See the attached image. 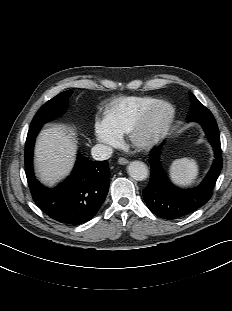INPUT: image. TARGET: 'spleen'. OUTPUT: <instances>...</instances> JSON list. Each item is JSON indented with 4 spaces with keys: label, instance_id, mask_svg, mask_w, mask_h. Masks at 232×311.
Returning <instances> with one entry per match:
<instances>
[{
    "label": "spleen",
    "instance_id": "3e777b00",
    "mask_svg": "<svg viewBox=\"0 0 232 311\" xmlns=\"http://www.w3.org/2000/svg\"><path fill=\"white\" fill-rule=\"evenodd\" d=\"M198 175V165L194 159L181 158L173 161L170 177L175 184L186 186L194 182Z\"/></svg>",
    "mask_w": 232,
    "mask_h": 311
}]
</instances>
